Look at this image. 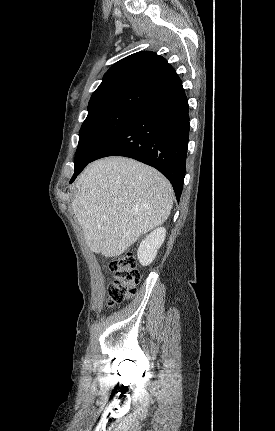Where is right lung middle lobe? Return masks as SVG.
I'll list each match as a JSON object with an SVG mask.
<instances>
[{
    "mask_svg": "<svg viewBox=\"0 0 275 431\" xmlns=\"http://www.w3.org/2000/svg\"><path fill=\"white\" fill-rule=\"evenodd\" d=\"M135 109H110L88 115L83 122L74 159V174L90 162L103 145L133 116Z\"/></svg>",
    "mask_w": 275,
    "mask_h": 431,
    "instance_id": "dd1d6c3e",
    "label": "right lung middle lobe"
}]
</instances>
